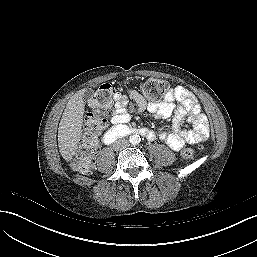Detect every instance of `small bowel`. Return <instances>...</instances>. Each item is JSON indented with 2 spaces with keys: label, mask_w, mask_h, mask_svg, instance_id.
I'll use <instances>...</instances> for the list:
<instances>
[{
  "label": "small bowel",
  "mask_w": 257,
  "mask_h": 257,
  "mask_svg": "<svg viewBox=\"0 0 257 257\" xmlns=\"http://www.w3.org/2000/svg\"><path fill=\"white\" fill-rule=\"evenodd\" d=\"M127 95L120 93L115 95V110L111 118L113 125H125L129 122L128 98H130L138 110L147 109L162 118L173 116L172 131L162 130L159 132V137L174 150H180L185 144L199 142L208 136L207 118L195 97L186 88L182 86L171 88L162 102L152 104H147L144 97L136 90L128 91ZM175 103L178 105L175 106ZM185 118L192 124V130L182 127ZM148 138H155V133L149 132Z\"/></svg>",
  "instance_id": "c3829d8e"
}]
</instances>
